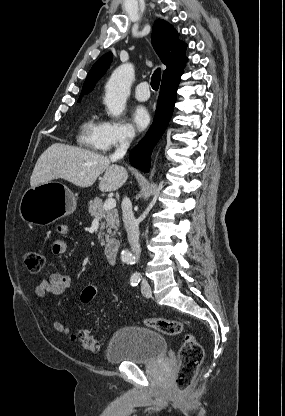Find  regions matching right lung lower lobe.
Returning a JSON list of instances; mask_svg holds the SVG:
<instances>
[{
	"mask_svg": "<svg viewBox=\"0 0 285 416\" xmlns=\"http://www.w3.org/2000/svg\"><path fill=\"white\" fill-rule=\"evenodd\" d=\"M180 78L181 75L161 83L154 122L146 136L131 152L130 162L132 166L141 171L149 172L151 152L171 118Z\"/></svg>",
	"mask_w": 285,
	"mask_h": 416,
	"instance_id": "right-lung-lower-lobe-1",
	"label": "right lung lower lobe"
}]
</instances>
